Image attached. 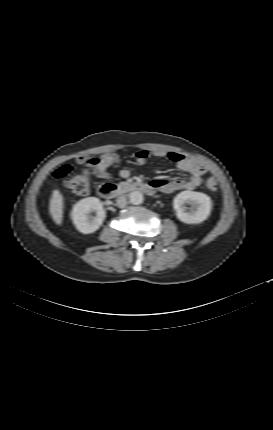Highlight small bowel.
I'll return each mask as SVG.
<instances>
[{"mask_svg":"<svg viewBox=\"0 0 273 430\" xmlns=\"http://www.w3.org/2000/svg\"><path fill=\"white\" fill-rule=\"evenodd\" d=\"M151 157L168 158L175 162L180 170L190 174L187 179L174 181L157 179L151 182L157 190L164 193H173L178 190H193L201 184L202 176L207 172L206 167L200 162L189 159L174 151L141 150L136 154L135 160L138 165H144ZM78 161L88 165L92 169L93 173L102 179L110 178L111 174L109 172V168L120 163L119 156L115 152H107L99 157L82 156L78 158ZM119 174L122 178H128L130 176V171L124 168L120 170Z\"/></svg>","mask_w":273,"mask_h":430,"instance_id":"small-bowel-1","label":"small bowel"}]
</instances>
